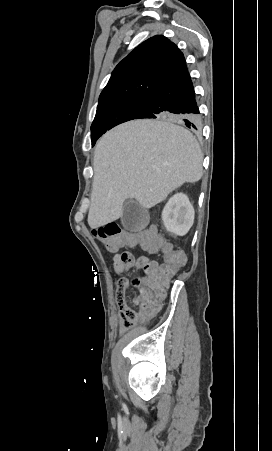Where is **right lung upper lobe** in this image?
Masks as SVG:
<instances>
[{
	"label": "right lung upper lobe",
	"instance_id": "1",
	"mask_svg": "<svg viewBox=\"0 0 272 451\" xmlns=\"http://www.w3.org/2000/svg\"><path fill=\"white\" fill-rule=\"evenodd\" d=\"M186 66L183 53L164 36L141 43L114 69L99 104L129 97H150Z\"/></svg>",
	"mask_w": 272,
	"mask_h": 451
}]
</instances>
